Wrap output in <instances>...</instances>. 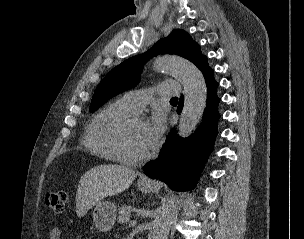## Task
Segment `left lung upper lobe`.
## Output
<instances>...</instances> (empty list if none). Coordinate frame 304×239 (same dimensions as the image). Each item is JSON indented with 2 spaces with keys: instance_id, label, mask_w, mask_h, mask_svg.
Segmentation results:
<instances>
[{
  "instance_id": "obj_1",
  "label": "left lung upper lobe",
  "mask_w": 304,
  "mask_h": 239,
  "mask_svg": "<svg viewBox=\"0 0 304 239\" xmlns=\"http://www.w3.org/2000/svg\"><path fill=\"white\" fill-rule=\"evenodd\" d=\"M177 54L197 67L206 58L200 47L184 30H173L166 38L159 40L147 52L131 57L113 68L97 86L90 112L97 110L103 103L113 96L136 86L140 80V71L145 62L157 54Z\"/></svg>"
}]
</instances>
